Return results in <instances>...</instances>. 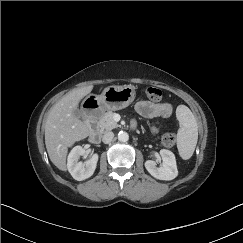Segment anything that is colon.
I'll return each instance as SVG.
<instances>
[{
  "mask_svg": "<svg viewBox=\"0 0 243 243\" xmlns=\"http://www.w3.org/2000/svg\"><path fill=\"white\" fill-rule=\"evenodd\" d=\"M146 96L152 102H159L162 99V91L156 87H149L145 91ZM176 143L174 134L168 133L161 137V144L165 147H171Z\"/></svg>",
  "mask_w": 243,
  "mask_h": 243,
  "instance_id": "5ec220e1",
  "label": "colon"
}]
</instances>
